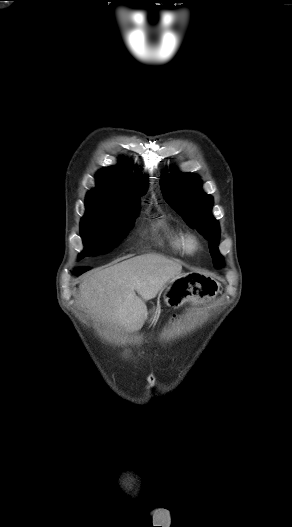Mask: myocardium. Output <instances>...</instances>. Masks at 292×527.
I'll return each mask as SVG.
<instances>
[{"instance_id": "myocardium-1", "label": "myocardium", "mask_w": 292, "mask_h": 527, "mask_svg": "<svg viewBox=\"0 0 292 527\" xmlns=\"http://www.w3.org/2000/svg\"><path fill=\"white\" fill-rule=\"evenodd\" d=\"M184 245L186 252L193 254L199 249V240L193 234H186Z\"/></svg>"}]
</instances>
